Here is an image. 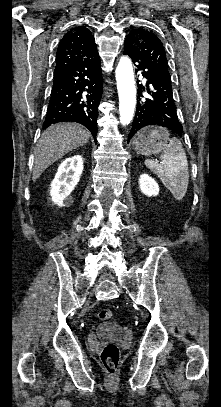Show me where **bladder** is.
Segmentation results:
<instances>
[{"instance_id":"bladder-1","label":"bladder","mask_w":221,"mask_h":407,"mask_svg":"<svg viewBox=\"0 0 221 407\" xmlns=\"http://www.w3.org/2000/svg\"><path fill=\"white\" fill-rule=\"evenodd\" d=\"M98 335L107 336L109 338H117L122 332V326L116 320L108 321L97 327Z\"/></svg>"}]
</instances>
